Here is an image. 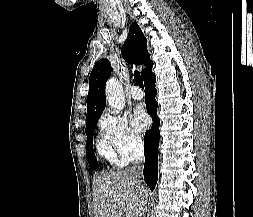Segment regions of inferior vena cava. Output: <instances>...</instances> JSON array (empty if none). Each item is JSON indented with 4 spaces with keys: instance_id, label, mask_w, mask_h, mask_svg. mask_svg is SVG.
<instances>
[{
    "instance_id": "602c4592",
    "label": "inferior vena cava",
    "mask_w": 253,
    "mask_h": 217,
    "mask_svg": "<svg viewBox=\"0 0 253 217\" xmlns=\"http://www.w3.org/2000/svg\"><path fill=\"white\" fill-rule=\"evenodd\" d=\"M144 163V148L141 140H138L134 146L132 154V166L126 168V171L131 174L133 184L135 185V194L137 196L138 205L140 207L139 217L142 216L143 207H146V200L148 199L149 189L144 184V179L141 178Z\"/></svg>"
}]
</instances>
